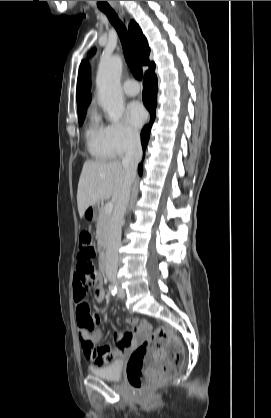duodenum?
<instances>
[{"instance_id": "duodenum-1", "label": "duodenum", "mask_w": 271, "mask_h": 418, "mask_svg": "<svg viewBox=\"0 0 271 418\" xmlns=\"http://www.w3.org/2000/svg\"><path fill=\"white\" fill-rule=\"evenodd\" d=\"M100 267L103 272L107 269V256L106 253L103 251L100 258Z\"/></svg>"}]
</instances>
